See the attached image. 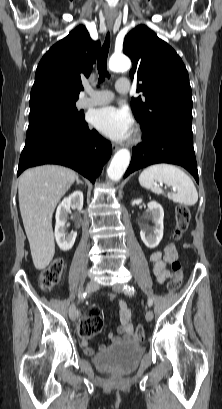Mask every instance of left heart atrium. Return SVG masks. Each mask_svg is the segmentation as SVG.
Masks as SVG:
<instances>
[{
	"label": "left heart atrium",
	"mask_w": 222,
	"mask_h": 409,
	"mask_svg": "<svg viewBox=\"0 0 222 409\" xmlns=\"http://www.w3.org/2000/svg\"><path fill=\"white\" fill-rule=\"evenodd\" d=\"M91 124L102 134L115 141L127 140L133 132V119L125 108L106 106L94 110Z\"/></svg>",
	"instance_id": "39dd6f15"
}]
</instances>
